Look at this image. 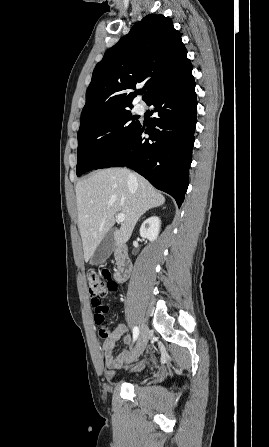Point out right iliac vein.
<instances>
[{"instance_id": "63e3f726", "label": "right iliac vein", "mask_w": 269, "mask_h": 447, "mask_svg": "<svg viewBox=\"0 0 269 447\" xmlns=\"http://www.w3.org/2000/svg\"><path fill=\"white\" fill-rule=\"evenodd\" d=\"M149 338V331L146 325H142L141 332L136 342L135 347L132 349L128 356V361L132 362L136 360L145 350Z\"/></svg>"}]
</instances>
